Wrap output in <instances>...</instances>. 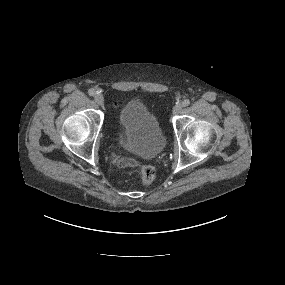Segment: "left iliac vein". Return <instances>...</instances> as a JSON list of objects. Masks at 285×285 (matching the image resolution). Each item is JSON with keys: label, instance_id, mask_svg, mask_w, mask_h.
Wrapping results in <instances>:
<instances>
[{"label": "left iliac vein", "instance_id": "1", "mask_svg": "<svg viewBox=\"0 0 285 285\" xmlns=\"http://www.w3.org/2000/svg\"><path fill=\"white\" fill-rule=\"evenodd\" d=\"M181 110H182V105H181L180 103L176 104V105L173 107V113H174V114L180 113Z\"/></svg>", "mask_w": 285, "mask_h": 285}]
</instances>
